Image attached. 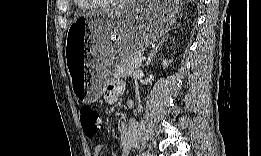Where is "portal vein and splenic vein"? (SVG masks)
<instances>
[{
    "label": "portal vein and splenic vein",
    "instance_id": "18ae733b",
    "mask_svg": "<svg viewBox=\"0 0 261 156\" xmlns=\"http://www.w3.org/2000/svg\"><path fill=\"white\" fill-rule=\"evenodd\" d=\"M146 60V57L145 56H139V57H136L135 60H134V63H142Z\"/></svg>",
    "mask_w": 261,
    "mask_h": 156
}]
</instances>
